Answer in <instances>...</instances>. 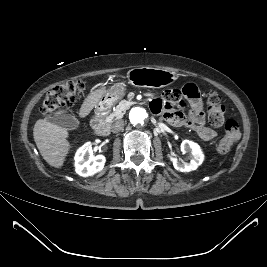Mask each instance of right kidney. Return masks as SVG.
<instances>
[{
    "instance_id": "right-kidney-1",
    "label": "right kidney",
    "mask_w": 267,
    "mask_h": 267,
    "mask_svg": "<svg viewBox=\"0 0 267 267\" xmlns=\"http://www.w3.org/2000/svg\"><path fill=\"white\" fill-rule=\"evenodd\" d=\"M75 171L82 177L93 176L100 172L105 165L106 158L103 155L93 156L90 142L81 146L75 154Z\"/></svg>"
}]
</instances>
